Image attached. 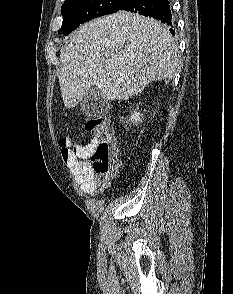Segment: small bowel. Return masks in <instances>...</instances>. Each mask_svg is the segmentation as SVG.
<instances>
[{
	"instance_id": "c3829d8e",
	"label": "small bowel",
	"mask_w": 233,
	"mask_h": 294,
	"mask_svg": "<svg viewBox=\"0 0 233 294\" xmlns=\"http://www.w3.org/2000/svg\"><path fill=\"white\" fill-rule=\"evenodd\" d=\"M60 145L62 151L66 152V157H63V159L70 168L74 169L83 178L85 190L90 194H95L100 191L105 185L106 179L98 177L88 162L92 142L88 145H80L72 142L70 139L64 138L60 141Z\"/></svg>"
}]
</instances>
